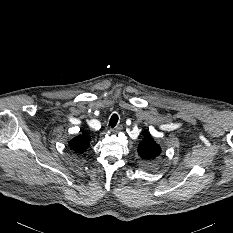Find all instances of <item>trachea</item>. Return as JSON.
Listing matches in <instances>:
<instances>
[{"label":"trachea","mask_w":233,"mask_h":233,"mask_svg":"<svg viewBox=\"0 0 233 233\" xmlns=\"http://www.w3.org/2000/svg\"><path fill=\"white\" fill-rule=\"evenodd\" d=\"M118 122V115L117 114H113L110 118V122L109 125L114 128L117 125Z\"/></svg>","instance_id":"trachea-1"}]
</instances>
